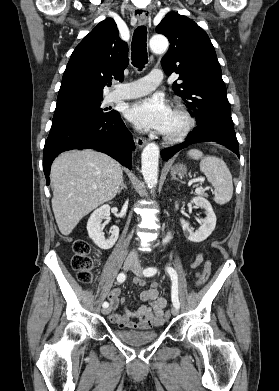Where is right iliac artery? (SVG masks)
I'll use <instances>...</instances> for the list:
<instances>
[{
    "label": "right iliac artery",
    "instance_id": "82829eb1",
    "mask_svg": "<svg viewBox=\"0 0 279 391\" xmlns=\"http://www.w3.org/2000/svg\"><path fill=\"white\" fill-rule=\"evenodd\" d=\"M125 279H126L125 273H120V274L118 275V277H117V281H118L119 283L124 282ZM108 306H109V303H108V302H104V303H103V307H104V308H107Z\"/></svg>",
    "mask_w": 279,
    "mask_h": 391
}]
</instances>
